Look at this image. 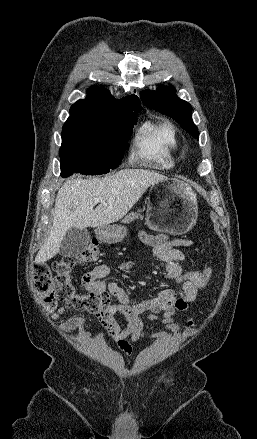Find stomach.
Masks as SVG:
<instances>
[{"instance_id": "0dacf381", "label": "stomach", "mask_w": 257, "mask_h": 439, "mask_svg": "<svg viewBox=\"0 0 257 439\" xmlns=\"http://www.w3.org/2000/svg\"><path fill=\"white\" fill-rule=\"evenodd\" d=\"M197 216V196L187 183L166 178L151 186L146 211L149 228L184 234L193 228ZM127 231L125 226H103L96 230V235L103 242L114 243L122 241Z\"/></svg>"}]
</instances>
